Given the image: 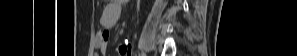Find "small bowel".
I'll return each mask as SVG.
<instances>
[{
	"mask_svg": "<svg viewBox=\"0 0 297 56\" xmlns=\"http://www.w3.org/2000/svg\"><path fill=\"white\" fill-rule=\"evenodd\" d=\"M122 3L123 0H111L104 7L101 16V24L104 29L98 33L96 43L98 50L103 55H105L108 47V30L112 28L119 20L122 11ZM118 52L120 55H127L128 47L126 45H120Z\"/></svg>",
	"mask_w": 297,
	"mask_h": 56,
	"instance_id": "small-bowel-1",
	"label": "small bowel"
}]
</instances>
